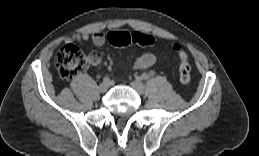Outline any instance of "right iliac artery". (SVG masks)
<instances>
[{
  "label": "right iliac artery",
  "instance_id": "right-iliac-artery-1",
  "mask_svg": "<svg viewBox=\"0 0 259 156\" xmlns=\"http://www.w3.org/2000/svg\"><path fill=\"white\" fill-rule=\"evenodd\" d=\"M103 81H104V82H109L110 79H109V77H104V78H103Z\"/></svg>",
  "mask_w": 259,
  "mask_h": 156
}]
</instances>
